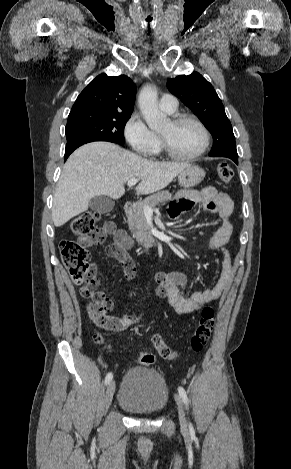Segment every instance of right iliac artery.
Masks as SVG:
<instances>
[{"mask_svg": "<svg viewBox=\"0 0 291 469\" xmlns=\"http://www.w3.org/2000/svg\"><path fill=\"white\" fill-rule=\"evenodd\" d=\"M113 374L109 372L106 377H105V384H109V382L112 380Z\"/></svg>", "mask_w": 291, "mask_h": 469, "instance_id": "1", "label": "right iliac artery"}]
</instances>
